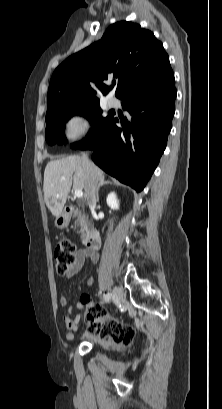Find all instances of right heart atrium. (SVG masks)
Listing matches in <instances>:
<instances>
[{"instance_id": "obj_1", "label": "right heart atrium", "mask_w": 222, "mask_h": 409, "mask_svg": "<svg viewBox=\"0 0 222 409\" xmlns=\"http://www.w3.org/2000/svg\"><path fill=\"white\" fill-rule=\"evenodd\" d=\"M92 129L90 117L85 113L73 114L65 124V133L68 139L78 140L87 136Z\"/></svg>"}]
</instances>
